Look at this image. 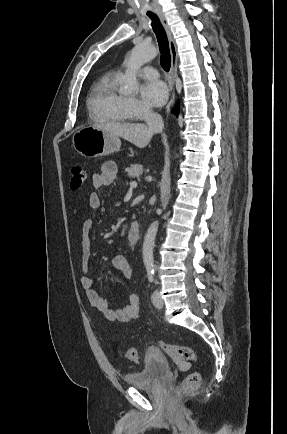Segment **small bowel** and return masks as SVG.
I'll list each match as a JSON object with an SVG mask.
<instances>
[{
    "instance_id": "small-bowel-1",
    "label": "small bowel",
    "mask_w": 287,
    "mask_h": 434,
    "mask_svg": "<svg viewBox=\"0 0 287 434\" xmlns=\"http://www.w3.org/2000/svg\"><path fill=\"white\" fill-rule=\"evenodd\" d=\"M117 175L116 164L112 161H105L100 167V171L96 172L91 177V183L95 188H102L112 184ZM87 205L91 210L99 209L101 199L95 192L90 193L87 198ZM94 228V222L90 219L86 220L81 229L80 236V251H81V267L83 276L80 283L82 289L86 292L88 301L91 307L104 314L109 321L129 322L138 317L139 313V297L136 294H131L127 298L125 306L119 309H114L109 305L107 299L100 296L93 290L95 279L88 274L89 261L91 257V237L90 233ZM112 268L120 273L124 279L131 276V265L128 256L125 252L116 255L112 262ZM185 368H189L188 364H184Z\"/></svg>"
}]
</instances>
